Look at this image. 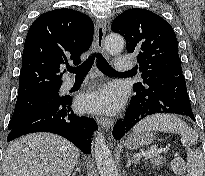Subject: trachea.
<instances>
[{"instance_id":"1","label":"trachea","mask_w":205,"mask_h":176,"mask_svg":"<svg viewBox=\"0 0 205 176\" xmlns=\"http://www.w3.org/2000/svg\"><path fill=\"white\" fill-rule=\"evenodd\" d=\"M95 57L98 59V68L99 70L107 75H114L118 74L120 72L116 71L100 54H93L87 61L82 63L81 65L77 67H69L67 70L70 73H74L76 77H84L89 72V70L92 67V64L94 62ZM133 71V70H130ZM129 71V72H130Z\"/></svg>"}]
</instances>
